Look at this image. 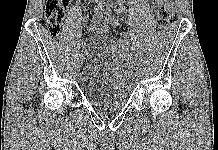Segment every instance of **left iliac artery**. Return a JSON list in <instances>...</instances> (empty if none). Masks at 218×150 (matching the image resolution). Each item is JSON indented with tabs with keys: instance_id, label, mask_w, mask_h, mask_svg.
<instances>
[{
	"instance_id": "obj_1",
	"label": "left iliac artery",
	"mask_w": 218,
	"mask_h": 150,
	"mask_svg": "<svg viewBox=\"0 0 218 150\" xmlns=\"http://www.w3.org/2000/svg\"><path fill=\"white\" fill-rule=\"evenodd\" d=\"M112 2H111V0H109V2L107 3V5H106V11H105V14H106V16H108V18H112V17H116L117 15L114 13V14H112L111 13V8H112ZM130 72L131 71H135L136 70V67H135V65L134 64H131L130 65V68L128 69Z\"/></svg>"
}]
</instances>
